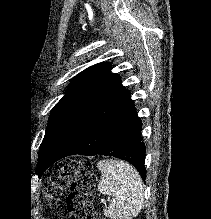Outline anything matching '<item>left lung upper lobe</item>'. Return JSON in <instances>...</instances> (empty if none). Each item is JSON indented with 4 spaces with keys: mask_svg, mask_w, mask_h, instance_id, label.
<instances>
[{
    "mask_svg": "<svg viewBox=\"0 0 211 219\" xmlns=\"http://www.w3.org/2000/svg\"><path fill=\"white\" fill-rule=\"evenodd\" d=\"M109 63L95 64L73 78L63 98L52 109L39 154L49 159L74 124L118 81ZM39 174V162H38Z\"/></svg>",
    "mask_w": 211,
    "mask_h": 219,
    "instance_id": "left-lung-upper-lobe-1",
    "label": "left lung upper lobe"
}]
</instances>
